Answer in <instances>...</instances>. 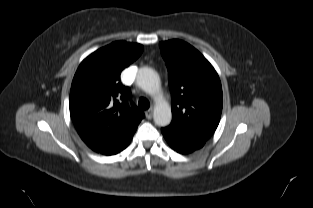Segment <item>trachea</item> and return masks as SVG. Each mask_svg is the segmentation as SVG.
Masks as SVG:
<instances>
[{"mask_svg": "<svg viewBox=\"0 0 313 208\" xmlns=\"http://www.w3.org/2000/svg\"><path fill=\"white\" fill-rule=\"evenodd\" d=\"M139 107L141 109H145L146 110V109H148L150 107V103H149V101L146 98L141 97L139 99Z\"/></svg>", "mask_w": 313, "mask_h": 208, "instance_id": "obj_1", "label": "trachea"}]
</instances>
